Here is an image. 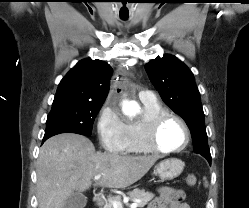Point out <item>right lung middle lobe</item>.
<instances>
[{"mask_svg": "<svg viewBox=\"0 0 249 208\" xmlns=\"http://www.w3.org/2000/svg\"><path fill=\"white\" fill-rule=\"evenodd\" d=\"M103 103H67L52 106L45 134L77 133L90 136L94 119Z\"/></svg>", "mask_w": 249, "mask_h": 208, "instance_id": "dd1d6c3e", "label": "right lung middle lobe"}]
</instances>
